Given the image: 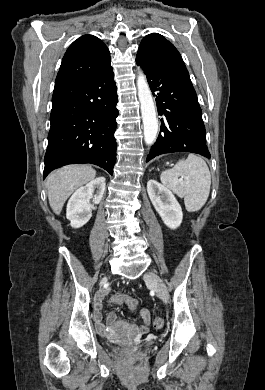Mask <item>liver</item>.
Segmentation results:
<instances>
[{
  "label": "liver",
  "mask_w": 265,
  "mask_h": 390,
  "mask_svg": "<svg viewBox=\"0 0 265 390\" xmlns=\"http://www.w3.org/2000/svg\"><path fill=\"white\" fill-rule=\"evenodd\" d=\"M95 176L96 171L89 165H68L52 172L46 180L52 210L59 215L67 198Z\"/></svg>",
  "instance_id": "obj_1"
}]
</instances>
